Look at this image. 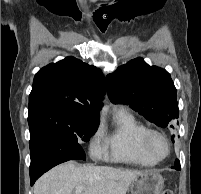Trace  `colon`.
Instances as JSON below:
<instances>
[{"label": "colon", "mask_w": 201, "mask_h": 194, "mask_svg": "<svg viewBox=\"0 0 201 194\" xmlns=\"http://www.w3.org/2000/svg\"><path fill=\"white\" fill-rule=\"evenodd\" d=\"M162 194H172V192H171L170 190H168V189H165V190L162 192Z\"/></svg>", "instance_id": "colon-1"}]
</instances>
